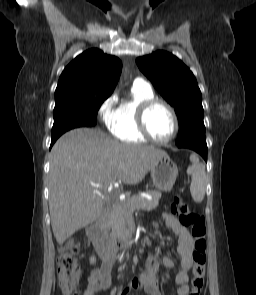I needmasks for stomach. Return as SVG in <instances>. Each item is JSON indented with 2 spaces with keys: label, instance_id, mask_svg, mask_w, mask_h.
<instances>
[{
  "label": "stomach",
  "instance_id": "obj_1",
  "mask_svg": "<svg viewBox=\"0 0 256 295\" xmlns=\"http://www.w3.org/2000/svg\"><path fill=\"white\" fill-rule=\"evenodd\" d=\"M155 188L170 191L178 176V167L168 154L160 156L150 169Z\"/></svg>",
  "mask_w": 256,
  "mask_h": 295
}]
</instances>
